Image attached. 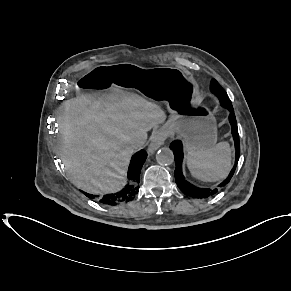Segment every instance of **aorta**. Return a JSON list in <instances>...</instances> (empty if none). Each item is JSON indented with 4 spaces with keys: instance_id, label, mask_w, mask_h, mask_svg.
<instances>
[{
    "instance_id": "aorta-1",
    "label": "aorta",
    "mask_w": 291,
    "mask_h": 291,
    "mask_svg": "<svg viewBox=\"0 0 291 291\" xmlns=\"http://www.w3.org/2000/svg\"><path fill=\"white\" fill-rule=\"evenodd\" d=\"M156 160L159 164L170 165L174 161L173 151L168 147H163L158 150Z\"/></svg>"
}]
</instances>
